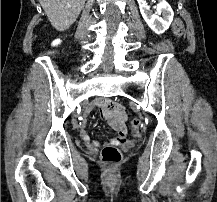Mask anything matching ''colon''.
<instances>
[{"mask_svg": "<svg viewBox=\"0 0 217 202\" xmlns=\"http://www.w3.org/2000/svg\"><path fill=\"white\" fill-rule=\"evenodd\" d=\"M173 31L177 36H182L184 33V24L180 18L175 20ZM140 125L139 119H133L130 124V133L137 135V129ZM102 161L108 165L114 166L120 163L122 155L116 146H105L101 152Z\"/></svg>", "mask_w": 217, "mask_h": 202, "instance_id": "colon-1", "label": "colon"}]
</instances>
